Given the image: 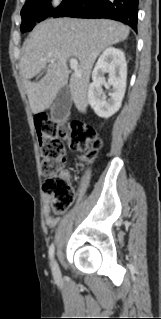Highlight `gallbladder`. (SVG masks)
I'll use <instances>...</instances> for the list:
<instances>
[{"label": "gallbladder", "mask_w": 161, "mask_h": 319, "mask_svg": "<svg viewBox=\"0 0 161 319\" xmlns=\"http://www.w3.org/2000/svg\"><path fill=\"white\" fill-rule=\"evenodd\" d=\"M71 92L69 86H64L58 92L51 108L53 120L62 121L67 118L71 106Z\"/></svg>", "instance_id": "bac80fb5"}]
</instances>
